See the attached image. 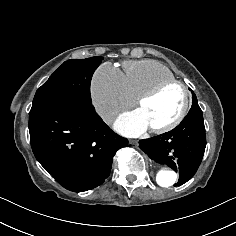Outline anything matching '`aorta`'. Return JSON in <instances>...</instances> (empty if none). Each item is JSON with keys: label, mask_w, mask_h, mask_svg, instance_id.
Segmentation results:
<instances>
[{"label": "aorta", "mask_w": 236, "mask_h": 236, "mask_svg": "<svg viewBox=\"0 0 236 236\" xmlns=\"http://www.w3.org/2000/svg\"><path fill=\"white\" fill-rule=\"evenodd\" d=\"M177 173L166 165H162L156 176L157 184L161 187H169L175 184Z\"/></svg>", "instance_id": "1"}]
</instances>
